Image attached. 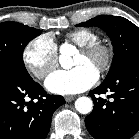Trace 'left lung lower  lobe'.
Returning <instances> with one entry per match:
<instances>
[{
  "label": "left lung lower lobe",
  "mask_w": 139,
  "mask_h": 139,
  "mask_svg": "<svg viewBox=\"0 0 139 139\" xmlns=\"http://www.w3.org/2000/svg\"><path fill=\"white\" fill-rule=\"evenodd\" d=\"M111 92L107 101L95 95ZM94 108L85 119L95 139H129L139 130V59L133 60L110 80L90 91Z\"/></svg>",
  "instance_id": "obj_1"
}]
</instances>
